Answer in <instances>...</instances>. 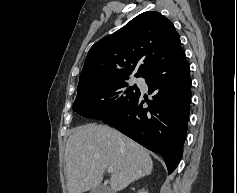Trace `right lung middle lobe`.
Masks as SVG:
<instances>
[{
    "label": "right lung middle lobe",
    "instance_id": "right-lung-middle-lobe-1",
    "mask_svg": "<svg viewBox=\"0 0 237 193\" xmlns=\"http://www.w3.org/2000/svg\"><path fill=\"white\" fill-rule=\"evenodd\" d=\"M127 80L107 81L77 91L73 111L101 120L120 112L140 93L136 85L129 86Z\"/></svg>",
    "mask_w": 237,
    "mask_h": 193
}]
</instances>
